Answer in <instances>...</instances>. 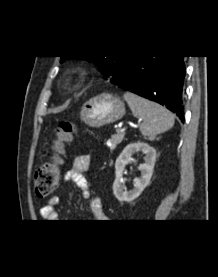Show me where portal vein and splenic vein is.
Returning a JSON list of instances; mask_svg holds the SVG:
<instances>
[{"label":"portal vein and splenic vein","instance_id":"1","mask_svg":"<svg viewBox=\"0 0 218 277\" xmlns=\"http://www.w3.org/2000/svg\"><path fill=\"white\" fill-rule=\"evenodd\" d=\"M124 131H125V128H121V129L118 130V132H120V133H122Z\"/></svg>","mask_w":218,"mask_h":277}]
</instances>
